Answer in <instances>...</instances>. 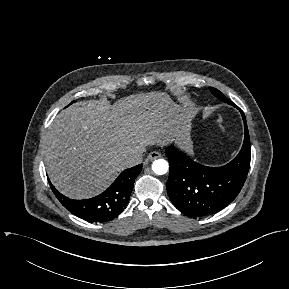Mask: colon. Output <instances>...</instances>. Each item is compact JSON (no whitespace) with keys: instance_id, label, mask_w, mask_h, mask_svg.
<instances>
[{"instance_id":"1","label":"colon","mask_w":289,"mask_h":289,"mask_svg":"<svg viewBox=\"0 0 289 289\" xmlns=\"http://www.w3.org/2000/svg\"><path fill=\"white\" fill-rule=\"evenodd\" d=\"M218 126H219V128H220L221 130H223V127H222V124H221L220 121H218Z\"/></svg>"}]
</instances>
